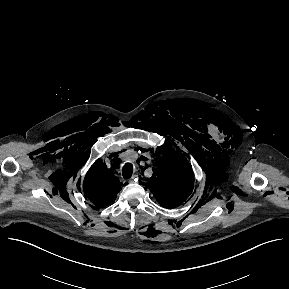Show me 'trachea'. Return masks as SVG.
I'll return each instance as SVG.
<instances>
[{
  "mask_svg": "<svg viewBox=\"0 0 289 289\" xmlns=\"http://www.w3.org/2000/svg\"><path fill=\"white\" fill-rule=\"evenodd\" d=\"M133 174V166L132 164L128 163L126 165L123 166L122 168V175L125 179H129L131 178Z\"/></svg>",
  "mask_w": 289,
  "mask_h": 289,
  "instance_id": "1",
  "label": "trachea"
}]
</instances>
